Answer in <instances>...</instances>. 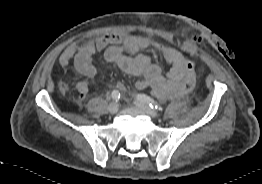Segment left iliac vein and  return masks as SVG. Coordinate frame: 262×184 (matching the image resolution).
Wrapping results in <instances>:
<instances>
[{
  "mask_svg": "<svg viewBox=\"0 0 262 184\" xmlns=\"http://www.w3.org/2000/svg\"><path fill=\"white\" fill-rule=\"evenodd\" d=\"M135 105L152 118H157L158 113L141 101H135Z\"/></svg>",
  "mask_w": 262,
  "mask_h": 184,
  "instance_id": "left-iliac-vein-1",
  "label": "left iliac vein"
}]
</instances>
